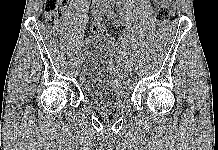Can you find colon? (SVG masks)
<instances>
[{"instance_id": "obj_1", "label": "colon", "mask_w": 218, "mask_h": 150, "mask_svg": "<svg viewBox=\"0 0 218 150\" xmlns=\"http://www.w3.org/2000/svg\"><path fill=\"white\" fill-rule=\"evenodd\" d=\"M68 0H46L44 7V19L49 31L53 34L58 33L63 10ZM171 18V11L167 7H161L156 14L158 25H166ZM93 31L96 34L110 37L107 28L104 25H95Z\"/></svg>"}]
</instances>
